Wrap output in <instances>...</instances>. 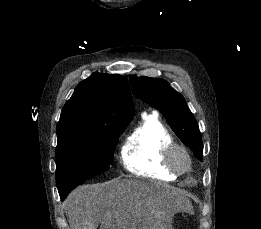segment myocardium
Returning <instances> with one entry per match:
<instances>
[{
	"mask_svg": "<svg viewBox=\"0 0 261 229\" xmlns=\"http://www.w3.org/2000/svg\"><path fill=\"white\" fill-rule=\"evenodd\" d=\"M181 155L184 158V164L179 165L177 157ZM165 163L175 174H184L191 168L192 161L190 153L182 144L176 142L171 143L165 148Z\"/></svg>",
	"mask_w": 261,
	"mask_h": 229,
	"instance_id": "myocardium-1",
	"label": "myocardium"
}]
</instances>
